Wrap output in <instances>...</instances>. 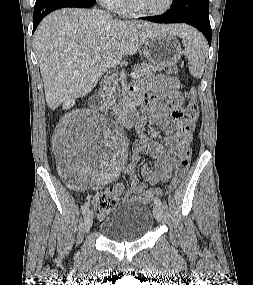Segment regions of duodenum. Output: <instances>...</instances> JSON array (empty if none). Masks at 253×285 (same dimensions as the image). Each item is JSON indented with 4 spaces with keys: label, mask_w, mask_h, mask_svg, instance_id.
<instances>
[{
    "label": "duodenum",
    "mask_w": 253,
    "mask_h": 285,
    "mask_svg": "<svg viewBox=\"0 0 253 285\" xmlns=\"http://www.w3.org/2000/svg\"><path fill=\"white\" fill-rule=\"evenodd\" d=\"M89 105L93 109H100L103 101L100 95H93L89 99ZM116 119L125 127L131 126L139 121L136 103L132 99L127 100L123 105L116 109Z\"/></svg>",
    "instance_id": "obj_1"
}]
</instances>
